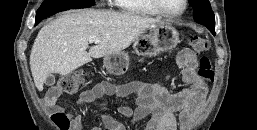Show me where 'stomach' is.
<instances>
[{"mask_svg":"<svg viewBox=\"0 0 257 130\" xmlns=\"http://www.w3.org/2000/svg\"><path fill=\"white\" fill-rule=\"evenodd\" d=\"M148 44L136 41L135 51L142 56H156L161 52L173 50L179 43L178 31L168 22H162L150 28ZM104 68L111 74L121 75L129 66V56L123 52L108 54L103 59Z\"/></svg>","mask_w":257,"mask_h":130,"instance_id":"1","label":"stomach"}]
</instances>
